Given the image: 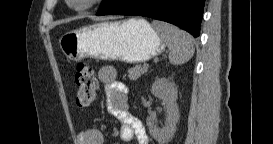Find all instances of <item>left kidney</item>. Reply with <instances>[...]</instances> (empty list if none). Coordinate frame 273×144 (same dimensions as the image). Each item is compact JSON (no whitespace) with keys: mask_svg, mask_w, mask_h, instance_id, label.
I'll use <instances>...</instances> for the list:
<instances>
[{"mask_svg":"<svg viewBox=\"0 0 273 144\" xmlns=\"http://www.w3.org/2000/svg\"><path fill=\"white\" fill-rule=\"evenodd\" d=\"M151 93L166 104V120L163 128H158L155 125L154 117H148L146 123L151 136L159 144H165L173 137L176 131V124L180 119L177 105V88L174 82L166 78H157L152 84Z\"/></svg>","mask_w":273,"mask_h":144,"instance_id":"left-kidney-1","label":"left kidney"}]
</instances>
